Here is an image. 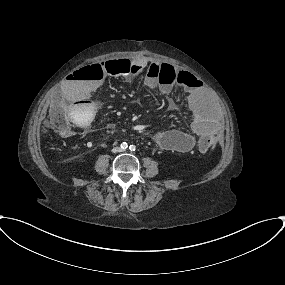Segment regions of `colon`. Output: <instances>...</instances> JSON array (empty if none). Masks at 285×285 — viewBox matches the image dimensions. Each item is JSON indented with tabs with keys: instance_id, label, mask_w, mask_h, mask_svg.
I'll return each mask as SVG.
<instances>
[{
	"instance_id": "colon-1",
	"label": "colon",
	"mask_w": 285,
	"mask_h": 285,
	"mask_svg": "<svg viewBox=\"0 0 285 285\" xmlns=\"http://www.w3.org/2000/svg\"><path fill=\"white\" fill-rule=\"evenodd\" d=\"M138 67L127 59H119L101 62L92 66L85 67L76 74V78L81 81L91 79H101L106 75L130 78L137 73ZM150 75L154 76L159 83L167 86H177L183 83V72L174 67H162L155 65L150 69ZM92 111L90 115L84 119L80 117L76 111L69 109L60 102H55L50 107L47 118L43 121V128L46 131H57L65 133L71 129L69 114L78 119V125L87 127L93 120ZM217 144L216 138L211 134H206L201 138L200 149L202 151H210Z\"/></svg>"
}]
</instances>
